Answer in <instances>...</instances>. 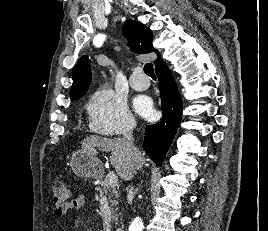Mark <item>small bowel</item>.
<instances>
[{
    "mask_svg": "<svg viewBox=\"0 0 268 231\" xmlns=\"http://www.w3.org/2000/svg\"><path fill=\"white\" fill-rule=\"evenodd\" d=\"M86 202L85 195L83 194H77L75 197H73L69 203L68 209L67 210H78L81 209ZM66 213L65 211H62L59 208L54 209V214L56 216H63Z\"/></svg>",
    "mask_w": 268,
    "mask_h": 231,
    "instance_id": "c3829d8e",
    "label": "small bowel"
}]
</instances>
